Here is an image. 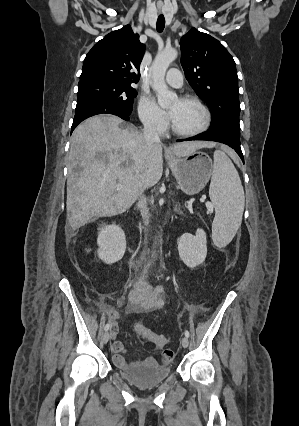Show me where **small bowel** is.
<instances>
[{
    "label": "small bowel",
    "instance_id": "obj_1",
    "mask_svg": "<svg viewBox=\"0 0 299 426\" xmlns=\"http://www.w3.org/2000/svg\"><path fill=\"white\" fill-rule=\"evenodd\" d=\"M163 288H152L145 279H139L134 284L133 289L129 294V311L133 313H145L163 306L164 300L162 297ZM108 318L111 320V334L114 342L112 344L113 363L118 369H132L136 367H154L158 366V362L153 357H147L140 361H127L124 357L125 348L120 341H115L118 329L120 313L114 310L108 312ZM173 357V353L169 350H164L161 354V363L168 364Z\"/></svg>",
    "mask_w": 299,
    "mask_h": 426
}]
</instances>
